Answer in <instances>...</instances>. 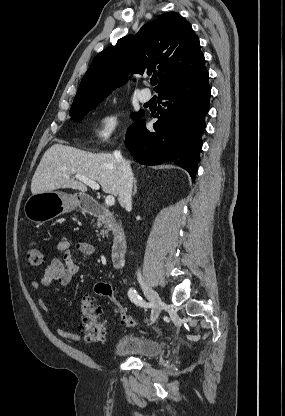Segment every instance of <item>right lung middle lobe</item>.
<instances>
[{"mask_svg": "<svg viewBox=\"0 0 285 416\" xmlns=\"http://www.w3.org/2000/svg\"><path fill=\"white\" fill-rule=\"evenodd\" d=\"M98 102L99 101L93 102V103H91V104H89V105H87L85 107H81V108H77V109H72V110H70L69 114L72 116V119L73 120L80 121V120L83 119V117L90 110L94 109L98 105ZM143 114H144V111H140L138 113H133L132 114V118L134 120H138L139 118H141L143 116Z\"/></svg>", "mask_w": 285, "mask_h": 416, "instance_id": "dd1d6c3e", "label": "right lung middle lobe"}]
</instances>
